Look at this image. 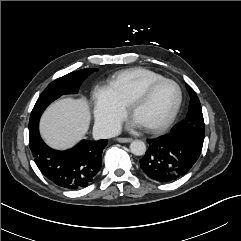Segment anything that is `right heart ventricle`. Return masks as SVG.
I'll return each mask as SVG.
<instances>
[{
	"label": "right heart ventricle",
	"instance_id": "e07e8e85",
	"mask_svg": "<svg viewBox=\"0 0 241 241\" xmlns=\"http://www.w3.org/2000/svg\"><path fill=\"white\" fill-rule=\"evenodd\" d=\"M163 78L161 74L146 68H132L114 75L111 87L119 100L128 106L148 84Z\"/></svg>",
	"mask_w": 241,
	"mask_h": 241
}]
</instances>
